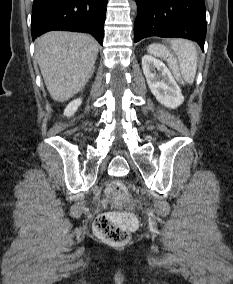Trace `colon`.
<instances>
[{"label": "colon", "instance_id": "colon-1", "mask_svg": "<svg viewBox=\"0 0 233 284\" xmlns=\"http://www.w3.org/2000/svg\"><path fill=\"white\" fill-rule=\"evenodd\" d=\"M150 55L163 59L170 68L174 78L179 83H184L176 58L161 44H152L148 48ZM109 195L113 201L120 205L127 196L128 189L121 180H114L109 185ZM135 219L129 212L113 211L103 213L97 217L94 230L102 239L114 243L123 244L130 238V229L134 225Z\"/></svg>", "mask_w": 233, "mask_h": 284}]
</instances>
